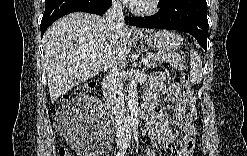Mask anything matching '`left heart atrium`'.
I'll return each mask as SVG.
<instances>
[{"mask_svg":"<svg viewBox=\"0 0 247 156\" xmlns=\"http://www.w3.org/2000/svg\"><path fill=\"white\" fill-rule=\"evenodd\" d=\"M146 1L145 0H129L128 3L130 5H141L144 4Z\"/></svg>","mask_w":247,"mask_h":156,"instance_id":"left-heart-atrium-1","label":"left heart atrium"}]
</instances>
